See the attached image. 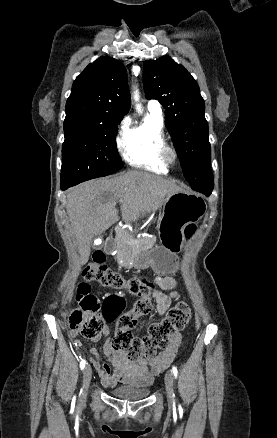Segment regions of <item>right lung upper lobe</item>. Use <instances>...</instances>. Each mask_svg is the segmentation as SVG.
<instances>
[{
    "instance_id": "cb5924a9",
    "label": "right lung upper lobe",
    "mask_w": 277,
    "mask_h": 438,
    "mask_svg": "<svg viewBox=\"0 0 277 438\" xmlns=\"http://www.w3.org/2000/svg\"><path fill=\"white\" fill-rule=\"evenodd\" d=\"M131 106L127 73L114 58L102 56L89 64L73 83L65 119L120 122Z\"/></svg>"
}]
</instances>
